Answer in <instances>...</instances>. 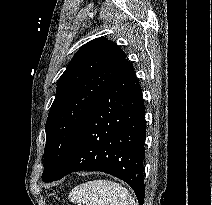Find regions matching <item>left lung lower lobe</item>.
<instances>
[{
	"label": "left lung lower lobe",
	"instance_id": "obj_1",
	"mask_svg": "<svg viewBox=\"0 0 212 205\" xmlns=\"http://www.w3.org/2000/svg\"><path fill=\"white\" fill-rule=\"evenodd\" d=\"M145 106L133 66L124 59L108 88L88 114L54 181L76 171H101L134 190L143 205Z\"/></svg>",
	"mask_w": 212,
	"mask_h": 205
}]
</instances>
